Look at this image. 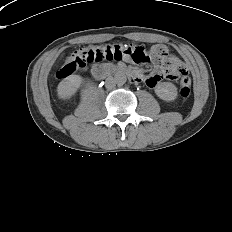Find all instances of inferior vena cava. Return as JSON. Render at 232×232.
<instances>
[{
  "mask_svg": "<svg viewBox=\"0 0 232 232\" xmlns=\"http://www.w3.org/2000/svg\"><path fill=\"white\" fill-rule=\"evenodd\" d=\"M115 81H114V79L113 78H107L106 79V88L108 89V90H112V89H114V87H115Z\"/></svg>",
  "mask_w": 232,
  "mask_h": 232,
  "instance_id": "obj_1",
  "label": "inferior vena cava"
}]
</instances>
